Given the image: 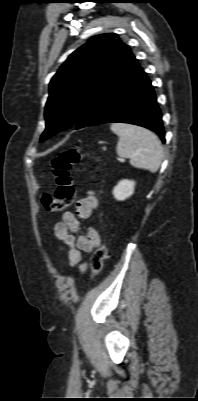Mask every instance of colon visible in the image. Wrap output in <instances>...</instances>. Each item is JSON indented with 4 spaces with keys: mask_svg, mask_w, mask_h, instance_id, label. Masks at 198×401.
I'll list each match as a JSON object with an SVG mask.
<instances>
[{
    "mask_svg": "<svg viewBox=\"0 0 198 401\" xmlns=\"http://www.w3.org/2000/svg\"><path fill=\"white\" fill-rule=\"evenodd\" d=\"M80 159L81 152L77 147L66 149L52 159L51 165L55 176L56 188L52 195L45 194L42 197V205L46 211H61L70 206L74 201L76 193L70 171ZM106 256L107 247L105 244H101L91 258V267L94 276L102 271Z\"/></svg>",
    "mask_w": 198,
    "mask_h": 401,
    "instance_id": "1",
    "label": "colon"
}]
</instances>
